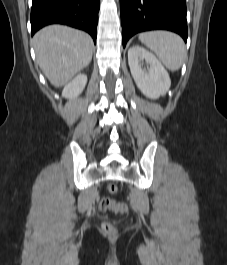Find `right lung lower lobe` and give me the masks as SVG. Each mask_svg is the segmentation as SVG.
Returning a JSON list of instances; mask_svg holds the SVG:
<instances>
[{"label":"right lung lower lobe","mask_w":227,"mask_h":265,"mask_svg":"<svg viewBox=\"0 0 227 265\" xmlns=\"http://www.w3.org/2000/svg\"><path fill=\"white\" fill-rule=\"evenodd\" d=\"M100 0H32V35L53 23L88 32L96 43Z\"/></svg>","instance_id":"right-lung-lower-lobe-1"}]
</instances>
